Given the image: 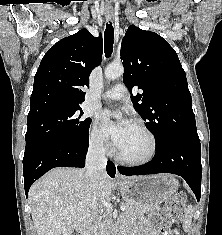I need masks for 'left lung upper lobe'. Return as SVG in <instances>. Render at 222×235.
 Here are the masks:
<instances>
[{
	"mask_svg": "<svg viewBox=\"0 0 222 235\" xmlns=\"http://www.w3.org/2000/svg\"><path fill=\"white\" fill-rule=\"evenodd\" d=\"M123 81L133 106L154 134L156 147L175 138L200 141L185 71L175 50L158 34L131 25L121 45Z\"/></svg>",
	"mask_w": 222,
	"mask_h": 235,
	"instance_id": "1",
	"label": "left lung upper lobe"
}]
</instances>
